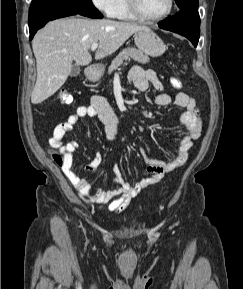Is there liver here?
<instances>
[{
	"label": "liver",
	"mask_w": 243,
	"mask_h": 289,
	"mask_svg": "<svg viewBox=\"0 0 243 289\" xmlns=\"http://www.w3.org/2000/svg\"><path fill=\"white\" fill-rule=\"evenodd\" d=\"M145 26L109 19L62 18L49 22L32 41L37 79L31 102L39 104L52 96L67 80L72 62L89 65L93 43L99 47L95 59L117 51L134 33Z\"/></svg>",
	"instance_id": "6515ba94"
}]
</instances>
